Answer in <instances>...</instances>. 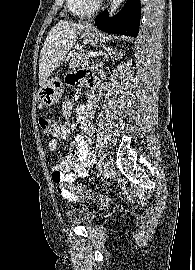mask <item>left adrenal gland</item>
<instances>
[{
	"mask_svg": "<svg viewBox=\"0 0 195 270\" xmlns=\"http://www.w3.org/2000/svg\"><path fill=\"white\" fill-rule=\"evenodd\" d=\"M114 54H115V52L113 50H110L108 53H105L103 61L100 63V66L104 65V61H108L110 58H113Z\"/></svg>",
	"mask_w": 195,
	"mask_h": 270,
	"instance_id": "left-adrenal-gland-1",
	"label": "left adrenal gland"
}]
</instances>
